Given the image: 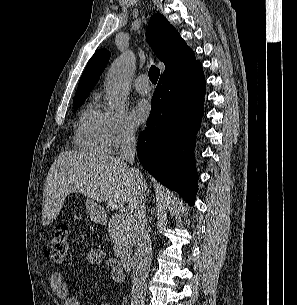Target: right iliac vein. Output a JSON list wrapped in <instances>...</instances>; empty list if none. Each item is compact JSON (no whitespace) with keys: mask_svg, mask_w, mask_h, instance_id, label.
Here are the masks:
<instances>
[{"mask_svg":"<svg viewBox=\"0 0 297 305\" xmlns=\"http://www.w3.org/2000/svg\"><path fill=\"white\" fill-rule=\"evenodd\" d=\"M132 305H144L143 303H136V304H132Z\"/></svg>","mask_w":297,"mask_h":305,"instance_id":"63e3f726","label":"right iliac vein"}]
</instances>
